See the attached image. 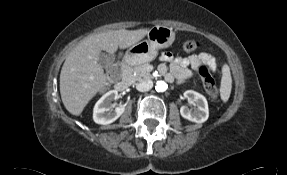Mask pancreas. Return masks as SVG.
Segmentation results:
<instances>
[{"label":"pancreas","instance_id":"obj_1","mask_svg":"<svg viewBox=\"0 0 287 175\" xmlns=\"http://www.w3.org/2000/svg\"><path fill=\"white\" fill-rule=\"evenodd\" d=\"M147 66L148 64L135 66L130 74L131 81L135 82L151 78V74L147 71Z\"/></svg>","mask_w":287,"mask_h":175}]
</instances>
